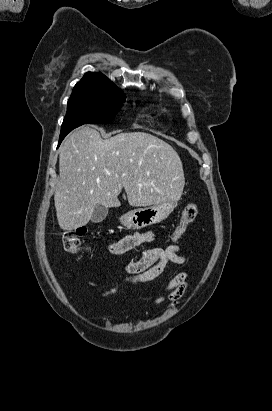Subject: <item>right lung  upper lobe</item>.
<instances>
[{
	"instance_id": "cb5924a9",
	"label": "right lung upper lobe",
	"mask_w": 272,
	"mask_h": 411,
	"mask_svg": "<svg viewBox=\"0 0 272 411\" xmlns=\"http://www.w3.org/2000/svg\"><path fill=\"white\" fill-rule=\"evenodd\" d=\"M107 88L118 89L116 85L103 74L88 72L84 75L81 81L75 85L72 94Z\"/></svg>"
}]
</instances>
